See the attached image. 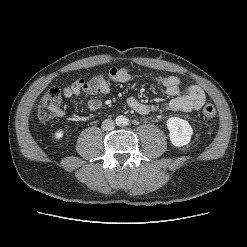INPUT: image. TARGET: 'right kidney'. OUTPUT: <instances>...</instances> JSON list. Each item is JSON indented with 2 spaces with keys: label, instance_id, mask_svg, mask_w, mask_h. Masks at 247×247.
I'll return each instance as SVG.
<instances>
[{
  "label": "right kidney",
  "instance_id": "right-kidney-1",
  "mask_svg": "<svg viewBox=\"0 0 247 247\" xmlns=\"http://www.w3.org/2000/svg\"><path fill=\"white\" fill-rule=\"evenodd\" d=\"M63 136H64V131H63V130H58V131H56V132L54 133V138H55L56 140L62 139Z\"/></svg>",
  "mask_w": 247,
  "mask_h": 247
}]
</instances>
